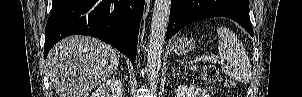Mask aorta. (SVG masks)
<instances>
[{
  "instance_id": "obj_1",
  "label": "aorta",
  "mask_w": 302,
  "mask_h": 97,
  "mask_svg": "<svg viewBox=\"0 0 302 97\" xmlns=\"http://www.w3.org/2000/svg\"><path fill=\"white\" fill-rule=\"evenodd\" d=\"M170 6L171 0H155L152 12L150 40L147 50V73L150 86L153 88H155L158 83Z\"/></svg>"
}]
</instances>
